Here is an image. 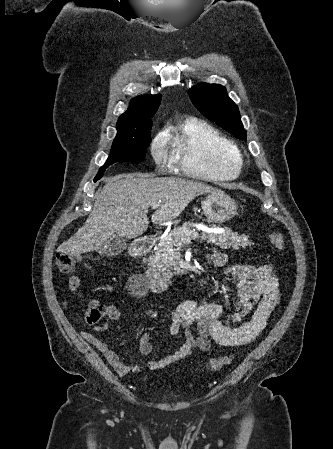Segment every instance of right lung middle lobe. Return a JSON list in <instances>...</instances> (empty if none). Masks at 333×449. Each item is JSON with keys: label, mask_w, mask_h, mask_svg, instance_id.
<instances>
[{"label": "right lung middle lobe", "mask_w": 333, "mask_h": 449, "mask_svg": "<svg viewBox=\"0 0 333 449\" xmlns=\"http://www.w3.org/2000/svg\"><path fill=\"white\" fill-rule=\"evenodd\" d=\"M152 121L149 119L142 128L141 135L135 138L115 139L110 155L105 164L99 169L94 181L99 180L106 168L115 162L140 163L144 160L147 147L151 142Z\"/></svg>", "instance_id": "obj_1"}]
</instances>
